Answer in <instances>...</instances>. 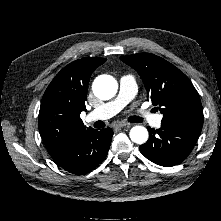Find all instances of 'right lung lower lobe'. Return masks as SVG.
I'll list each match as a JSON object with an SVG mask.
<instances>
[{"label": "right lung lower lobe", "mask_w": 221, "mask_h": 221, "mask_svg": "<svg viewBox=\"0 0 221 221\" xmlns=\"http://www.w3.org/2000/svg\"><path fill=\"white\" fill-rule=\"evenodd\" d=\"M113 131L91 129L80 138L52 156L53 160L73 174H86L99 165L106 157Z\"/></svg>", "instance_id": "98d812e1"}]
</instances>
